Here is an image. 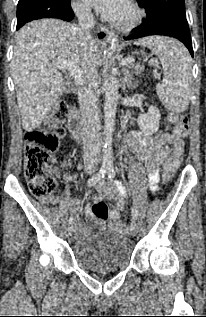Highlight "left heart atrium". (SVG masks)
<instances>
[{
    "mask_svg": "<svg viewBox=\"0 0 206 317\" xmlns=\"http://www.w3.org/2000/svg\"><path fill=\"white\" fill-rule=\"evenodd\" d=\"M124 0H86L106 18L112 19Z\"/></svg>",
    "mask_w": 206,
    "mask_h": 317,
    "instance_id": "obj_1",
    "label": "left heart atrium"
}]
</instances>
